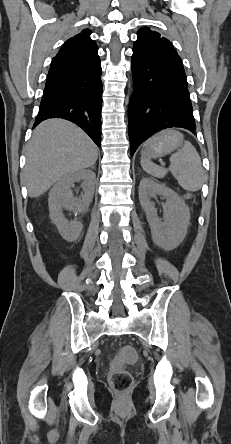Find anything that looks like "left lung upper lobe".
<instances>
[{"mask_svg":"<svg viewBox=\"0 0 231 444\" xmlns=\"http://www.w3.org/2000/svg\"><path fill=\"white\" fill-rule=\"evenodd\" d=\"M137 35L138 38L133 45V54L167 61L184 71L182 60L168 39L161 37L158 32L151 31L148 27L140 28Z\"/></svg>","mask_w":231,"mask_h":444,"instance_id":"1","label":"left lung upper lobe"}]
</instances>
